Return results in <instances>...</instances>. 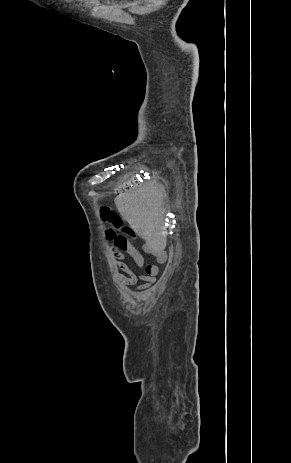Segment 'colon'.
<instances>
[{
	"instance_id": "1",
	"label": "colon",
	"mask_w": 291,
	"mask_h": 463,
	"mask_svg": "<svg viewBox=\"0 0 291 463\" xmlns=\"http://www.w3.org/2000/svg\"><path fill=\"white\" fill-rule=\"evenodd\" d=\"M100 218L103 222L110 224L109 228L102 229V240L109 241L116 235L132 239L137 237L134 230L108 206H102L100 208Z\"/></svg>"
}]
</instances>
